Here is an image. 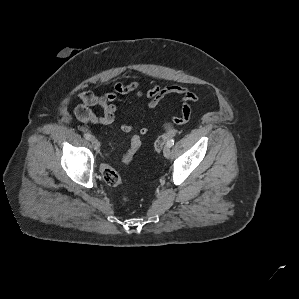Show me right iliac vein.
<instances>
[{"mask_svg":"<svg viewBox=\"0 0 299 299\" xmlns=\"http://www.w3.org/2000/svg\"><path fill=\"white\" fill-rule=\"evenodd\" d=\"M91 143H92L93 148L96 151H98L100 149V143H99V141L96 138L92 137L91 138Z\"/></svg>","mask_w":299,"mask_h":299,"instance_id":"63e3f726","label":"right iliac vein"}]
</instances>
